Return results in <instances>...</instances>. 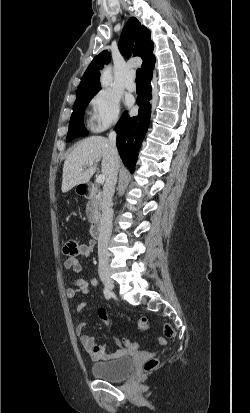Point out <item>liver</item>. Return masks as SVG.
Instances as JSON below:
<instances>
[{"mask_svg": "<svg viewBox=\"0 0 250 413\" xmlns=\"http://www.w3.org/2000/svg\"><path fill=\"white\" fill-rule=\"evenodd\" d=\"M100 160H102V175L107 180L111 170L109 140L102 136H91L80 141L72 149L64 162L62 192L66 193L79 184L87 183L95 173L96 165ZM90 162L94 164L88 166L87 164ZM84 167L85 169H83Z\"/></svg>", "mask_w": 250, "mask_h": 413, "instance_id": "6515ba94", "label": "liver"}]
</instances>
